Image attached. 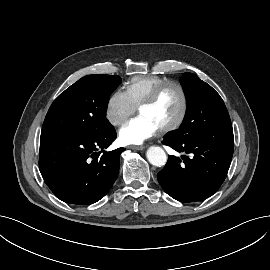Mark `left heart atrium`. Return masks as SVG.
I'll use <instances>...</instances> for the list:
<instances>
[{
  "instance_id": "39dd6f15",
  "label": "left heart atrium",
  "mask_w": 270,
  "mask_h": 270,
  "mask_svg": "<svg viewBox=\"0 0 270 270\" xmlns=\"http://www.w3.org/2000/svg\"><path fill=\"white\" fill-rule=\"evenodd\" d=\"M158 131V126L150 118L139 115L122 125L119 130V141L124 145H138Z\"/></svg>"
}]
</instances>
